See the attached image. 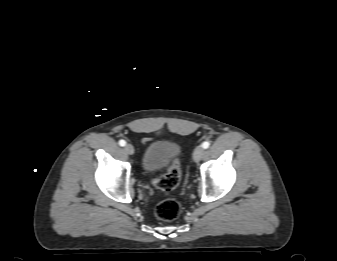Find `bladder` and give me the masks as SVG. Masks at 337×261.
Returning <instances> with one entry per match:
<instances>
[{"label":"bladder","instance_id":"1","mask_svg":"<svg viewBox=\"0 0 337 261\" xmlns=\"http://www.w3.org/2000/svg\"><path fill=\"white\" fill-rule=\"evenodd\" d=\"M180 153V146L176 142L165 138L156 139L145 148L141 169L145 174H152L177 159Z\"/></svg>","mask_w":337,"mask_h":261}]
</instances>
